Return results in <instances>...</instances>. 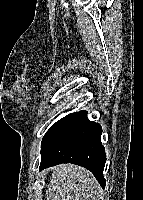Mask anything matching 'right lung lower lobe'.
<instances>
[{"label":"right lung lower lobe","mask_w":143,"mask_h":200,"mask_svg":"<svg viewBox=\"0 0 143 200\" xmlns=\"http://www.w3.org/2000/svg\"><path fill=\"white\" fill-rule=\"evenodd\" d=\"M102 128L89 121L86 111L72 113L57 121L41 143L40 170L60 164L73 163L90 170L102 187L106 181L103 170L105 148L101 144Z\"/></svg>","instance_id":"98d812e1"}]
</instances>
